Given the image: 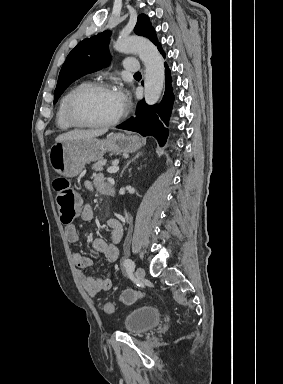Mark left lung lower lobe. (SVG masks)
Listing matches in <instances>:
<instances>
[{
	"label": "left lung lower lobe",
	"mask_w": 283,
	"mask_h": 384,
	"mask_svg": "<svg viewBox=\"0 0 283 384\" xmlns=\"http://www.w3.org/2000/svg\"><path fill=\"white\" fill-rule=\"evenodd\" d=\"M158 50L165 57L160 44H158ZM165 68L166 88L160 104L149 106L141 100L137 104L135 116L117 126L119 129L135 131L143 136H154L161 146L165 144L169 135L167 126L174 101L170 70L166 63Z\"/></svg>",
	"instance_id": "left-lung-lower-lobe-1"
}]
</instances>
